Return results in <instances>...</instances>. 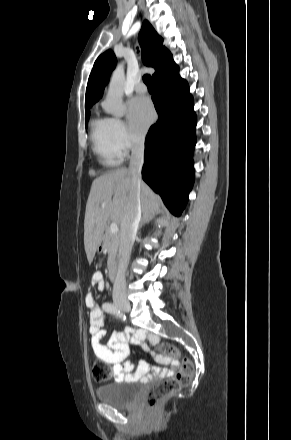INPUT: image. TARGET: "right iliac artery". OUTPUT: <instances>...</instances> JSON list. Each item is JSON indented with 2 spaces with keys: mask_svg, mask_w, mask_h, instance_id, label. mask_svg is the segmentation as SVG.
<instances>
[{
  "mask_svg": "<svg viewBox=\"0 0 291 440\" xmlns=\"http://www.w3.org/2000/svg\"><path fill=\"white\" fill-rule=\"evenodd\" d=\"M107 311L111 314H114L115 316L125 320L126 317L125 315H123V313L120 311V309H118L116 306L109 304L107 307Z\"/></svg>",
  "mask_w": 291,
  "mask_h": 440,
  "instance_id": "1",
  "label": "right iliac artery"
}]
</instances>
